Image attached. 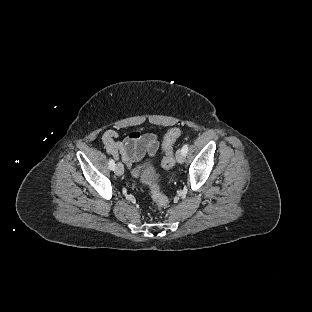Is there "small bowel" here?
Masks as SVG:
<instances>
[{"label": "small bowel", "mask_w": 312, "mask_h": 312, "mask_svg": "<svg viewBox=\"0 0 312 312\" xmlns=\"http://www.w3.org/2000/svg\"><path fill=\"white\" fill-rule=\"evenodd\" d=\"M119 133L114 129L107 130L102 136L103 145L109 155L125 163L133 176H138L145 158H152L159 148V141L152 133L133 131L123 141L117 142Z\"/></svg>", "instance_id": "obj_1"}]
</instances>
